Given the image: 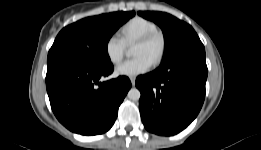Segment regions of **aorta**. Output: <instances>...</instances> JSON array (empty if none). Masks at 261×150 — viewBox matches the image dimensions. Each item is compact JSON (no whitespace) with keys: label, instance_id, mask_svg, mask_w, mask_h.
Here are the masks:
<instances>
[{"label":"aorta","instance_id":"obj_1","mask_svg":"<svg viewBox=\"0 0 261 150\" xmlns=\"http://www.w3.org/2000/svg\"><path fill=\"white\" fill-rule=\"evenodd\" d=\"M133 54V50L130 49L128 52H127V55H132ZM128 98L130 100H133V101H137L140 99V96H141V93L140 91L137 89V88H131L127 94Z\"/></svg>","mask_w":261,"mask_h":150}]
</instances>
